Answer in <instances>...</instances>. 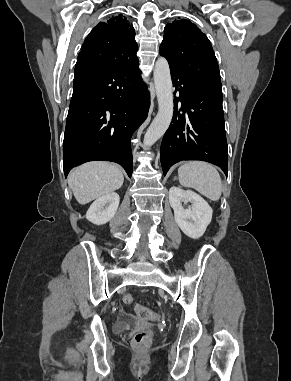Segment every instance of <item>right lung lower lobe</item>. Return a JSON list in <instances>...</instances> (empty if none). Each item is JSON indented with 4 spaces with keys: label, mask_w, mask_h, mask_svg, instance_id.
I'll return each instance as SVG.
<instances>
[{
    "label": "right lung lower lobe",
    "mask_w": 291,
    "mask_h": 381,
    "mask_svg": "<svg viewBox=\"0 0 291 381\" xmlns=\"http://www.w3.org/2000/svg\"><path fill=\"white\" fill-rule=\"evenodd\" d=\"M63 141L65 176L82 163L106 160L132 174L131 136L147 117L150 98L138 58L114 68L74 71Z\"/></svg>",
    "instance_id": "1"
}]
</instances>
